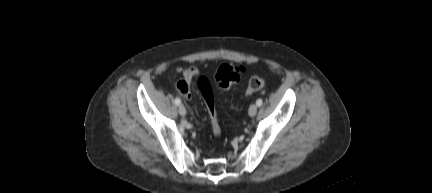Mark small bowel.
Returning a JSON list of instances; mask_svg holds the SVG:
<instances>
[{"mask_svg": "<svg viewBox=\"0 0 432 193\" xmlns=\"http://www.w3.org/2000/svg\"><path fill=\"white\" fill-rule=\"evenodd\" d=\"M199 75V71L195 67L187 68L183 72V79L177 84L179 92L186 98H190L189 86L191 82Z\"/></svg>", "mask_w": 432, "mask_h": 193, "instance_id": "obj_1", "label": "small bowel"}]
</instances>
